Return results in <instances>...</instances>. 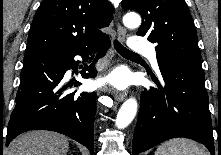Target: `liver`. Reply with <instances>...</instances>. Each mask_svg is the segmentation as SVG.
I'll return each mask as SVG.
<instances>
[{"instance_id":"obj_1","label":"liver","mask_w":221,"mask_h":155,"mask_svg":"<svg viewBox=\"0 0 221 155\" xmlns=\"http://www.w3.org/2000/svg\"><path fill=\"white\" fill-rule=\"evenodd\" d=\"M68 139L56 132L35 130L14 139L7 155H66Z\"/></svg>"}]
</instances>
